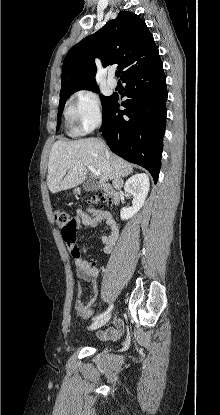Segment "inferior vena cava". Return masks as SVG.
<instances>
[{"label":"inferior vena cava","mask_w":220,"mask_h":415,"mask_svg":"<svg viewBox=\"0 0 220 415\" xmlns=\"http://www.w3.org/2000/svg\"><path fill=\"white\" fill-rule=\"evenodd\" d=\"M106 153L108 154V152H106ZM120 182H121V177H118V176L115 177L114 180H113V186L115 188H119Z\"/></svg>","instance_id":"obj_1"}]
</instances>
